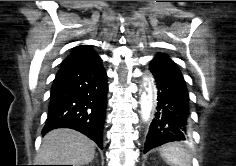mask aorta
Listing matches in <instances>:
<instances>
[{"label":"aorta","instance_id":"762f6f07","mask_svg":"<svg viewBox=\"0 0 236 166\" xmlns=\"http://www.w3.org/2000/svg\"><path fill=\"white\" fill-rule=\"evenodd\" d=\"M152 99V88L149 83V86L146 88V91L141 94L140 98L142 119L145 121L149 119L150 112L152 110Z\"/></svg>","mask_w":236,"mask_h":166}]
</instances>
